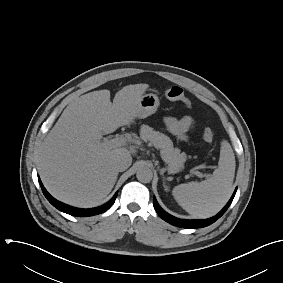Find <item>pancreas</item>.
<instances>
[{
  "mask_svg": "<svg viewBox=\"0 0 283 283\" xmlns=\"http://www.w3.org/2000/svg\"><path fill=\"white\" fill-rule=\"evenodd\" d=\"M140 137L144 141H149L154 147L161 150L163 160L168 164L169 170L178 172L186 160V154L173 147L170 138L159 131L153 130L148 125H142Z\"/></svg>",
  "mask_w": 283,
  "mask_h": 283,
  "instance_id": "pancreas-1",
  "label": "pancreas"
}]
</instances>
